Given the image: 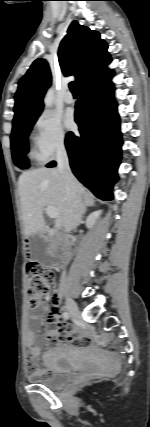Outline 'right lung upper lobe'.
<instances>
[{
  "label": "right lung upper lobe",
  "instance_id": "cb5924a9",
  "mask_svg": "<svg viewBox=\"0 0 150 427\" xmlns=\"http://www.w3.org/2000/svg\"><path fill=\"white\" fill-rule=\"evenodd\" d=\"M107 47L98 32L73 21L58 52L64 75H74L80 90L108 70L107 64L111 62V58ZM50 84L48 63L44 59L35 60L19 81L13 123L41 113L43 96Z\"/></svg>",
  "mask_w": 150,
  "mask_h": 427
}]
</instances>
